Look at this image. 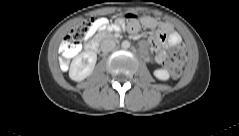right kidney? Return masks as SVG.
<instances>
[{"label":"right kidney","instance_id":"right-kidney-1","mask_svg":"<svg viewBox=\"0 0 239 136\" xmlns=\"http://www.w3.org/2000/svg\"><path fill=\"white\" fill-rule=\"evenodd\" d=\"M97 61L95 52L87 51L77 55L71 62L69 77L74 81H82L94 70Z\"/></svg>","mask_w":239,"mask_h":136}]
</instances>
